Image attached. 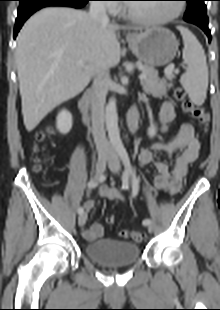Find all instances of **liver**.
<instances>
[{"label": "liver", "mask_w": 220, "mask_h": 310, "mask_svg": "<svg viewBox=\"0 0 220 310\" xmlns=\"http://www.w3.org/2000/svg\"><path fill=\"white\" fill-rule=\"evenodd\" d=\"M119 28L65 7L42 9L25 23L15 60L28 132L56 106L81 93L96 71L119 63Z\"/></svg>", "instance_id": "6515ba94"}]
</instances>
